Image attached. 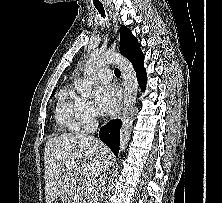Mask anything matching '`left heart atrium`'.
<instances>
[{
    "label": "left heart atrium",
    "mask_w": 222,
    "mask_h": 203,
    "mask_svg": "<svg viewBox=\"0 0 222 203\" xmlns=\"http://www.w3.org/2000/svg\"><path fill=\"white\" fill-rule=\"evenodd\" d=\"M120 101V93L113 85L99 87L95 91V102L97 108L105 114H112L116 111Z\"/></svg>",
    "instance_id": "left-heart-atrium-1"
}]
</instances>
